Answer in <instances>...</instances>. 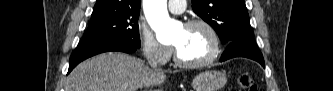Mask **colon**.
<instances>
[{
    "label": "colon",
    "instance_id": "5ec220e1",
    "mask_svg": "<svg viewBox=\"0 0 333 91\" xmlns=\"http://www.w3.org/2000/svg\"><path fill=\"white\" fill-rule=\"evenodd\" d=\"M238 84L240 88L244 91H256L257 87L250 74L242 73L238 77Z\"/></svg>",
    "mask_w": 333,
    "mask_h": 91
}]
</instances>
